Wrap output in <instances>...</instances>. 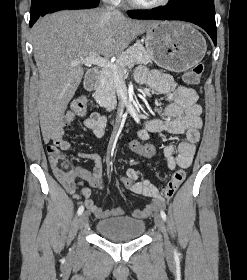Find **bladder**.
Wrapping results in <instances>:
<instances>
[{
  "label": "bladder",
  "instance_id": "1",
  "mask_svg": "<svg viewBox=\"0 0 247 280\" xmlns=\"http://www.w3.org/2000/svg\"><path fill=\"white\" fill-rule=\"evenodd\" d=\"M145 222L131 217H113L97 222V233L112 241H130L140 238L145 232Z\"/></svg>",
  "mask_w": 247,
  "mask_h": 280
}]
</instances>
